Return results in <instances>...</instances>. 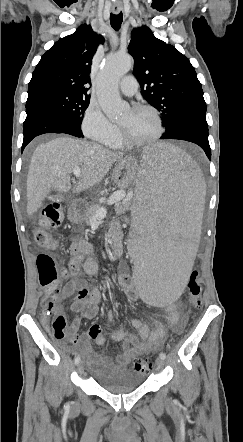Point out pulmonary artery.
Returning <instances> with one entry per match:
<instances>
[{"mask_svg":"<svg viewBox=\"0 0 243 442\" xmlns=\"http://www.w3.org/2000/svg\"><path fill=\"white\" fill-rule=\"evenodd\" d=\"M138 83L132 75L125 76L120 82V90L125 96H133L137 92Z\"/></svg>","mask_w":243,"mask_h":442,"instance_id":"obj_1","label":"pulmonary artery"}]
</instances>
